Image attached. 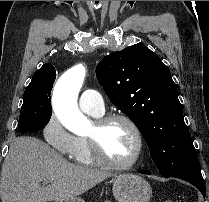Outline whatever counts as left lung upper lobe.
<instances>
[{
	"instance_id": "5c2ea615",
	"label": "left lung upper lobe",
	"mask_w": 209,
	"mask_h": 202,
	"mask_svg": "<svg viewBox=\"0 0 209 202\" xmlns=\"http://www.w3.org/2000/svg\"><path fill=\"white\" fill-rule=\"evenodd\" d=\"M96 76L110 101L135 123L162 176L198 159L167 66L143 44L103 58Z\"/></svg>"
}]
</instances>
